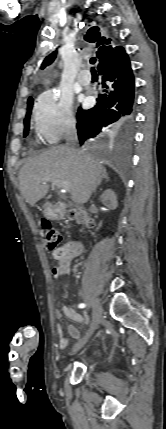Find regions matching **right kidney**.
<instances>
[{
  "mask_svg": "<svg viewBox=\"0 0 166 429\" xmlns=\"http://www.w3.org/2000/svg\"><path fill=\"white\" fill-rule=\"evenodd\" d=\"M100 201L111 210L116 209L118 206L117 197L112 189H106L100 196Z\"/></svg>",
  "mask_w": 166,
  "mask_h": 429,
  "instance_id": "ca27d5eb",
  "label": "right kidney"
}]
</instances>
